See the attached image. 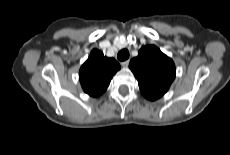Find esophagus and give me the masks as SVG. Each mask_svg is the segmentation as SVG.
Masks as SVG:
<instances>
[{"label":"esophagus","mask_w":230,"mask_h":155,"mask_svg":"<svg viewBox=\"0 0 230 155\" xmlns=\"http://www.w3.org/2000/svg\"><path fill=\"white\" fill-rule=\"evenodd\" d=\"M121 65H122L123 67H127V66L129 65V60L123 61V62L121 63Z\"/></svg>","instance_id":"34e87169"}]
</instances>
